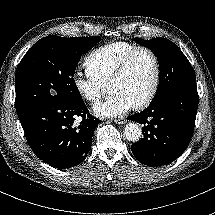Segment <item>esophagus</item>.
<instances>
[{
	"label": "esophagus",
	"mask_w": 215,
	"mask_h": 215,
	"mask_svg": "<svg viewBox=\"0 0 215 215\" xmlns=\"http://www.w3.org/2000/svg\"><path fill=\"white\" fill-rule=\"evenodd\" d=\"M114 122H115L116 124H125V123H126V120H125V119H116V120H114Z\"/></svg>",
	"instance_id": "obj_1"
}]
</instances>
